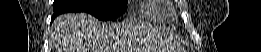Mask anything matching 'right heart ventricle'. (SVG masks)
Masks as SVG:
<instances>
[{"instance_id":"1","label":"right heart ventricle","mask_w":261,"mask_h":52,"mask_svg":"<svg viewBox=\"0 0 261 52\" xmlns=\"http://www.w3.org/2000/svg\"><path fill=\"white\" fill-rule=\"evenodd\" d=\"M141 13L148 19L159 20L164 18L165 9L158 3V1L151 0L141 9Z\"/></svg>"}]
</instances>
